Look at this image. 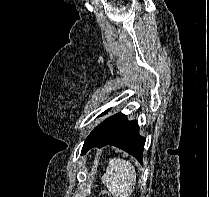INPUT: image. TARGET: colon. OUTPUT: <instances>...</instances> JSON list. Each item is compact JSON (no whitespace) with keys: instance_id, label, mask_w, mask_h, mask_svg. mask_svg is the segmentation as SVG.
I'll return each instance as SVG.
<instances>
[{"instance_id":"obj_1","label":"colon","mask_w":209,"mask_h":197,"mask_svg":"<svg viewBox=\"0 0 209 197\" xmlns=\"http://www.w3.org/2000/svg\"><path fill=\"white\" fill-rule=\"evenodd\" d=\"M98 197H112V196L108 191H102L100 192Z\"/></svg>"}]
</instances>
